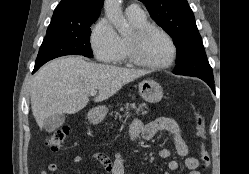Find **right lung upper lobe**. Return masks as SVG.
<instances>
[{"label": "right lung upper lobe", "instance_id": "1", "mask_svg": "<svg viewBox=\"0 0 249 174\" xmlns=\"http://www.w3.org/2000/svg\"><path fill=\"white\" fill-rule=\"evenodd\" d=\"M104 0H62L54 10L47 31L70 28L97 20Z\"/></svg>", "mask_w": 249, "mask_h": 174}]
</instances>
